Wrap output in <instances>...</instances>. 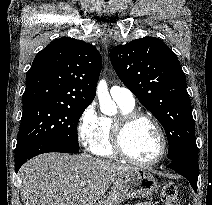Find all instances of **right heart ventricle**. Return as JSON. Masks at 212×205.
I'll use <instances>...</instances> for the list:
<instances>
[{
	"instance_id": "1",
	"label": "right heart ventricle",
	"mask_w": 212,
	"mask_h": 205,
	"mask_svg": "<svg viewBox=\"0 0 212 205\" xmlns=\"http://www.w3.org/2000/svg\"><path fill=\"white\" fill-rule=\"evenodd\" d=\"M117 104L121 110V113L132 111L134 108V106H128L120 102H117ZM113 121L114 119L106 116L99 118V126L96 137L92 144L88 147L92 154L98 157L110 159L118 157L113 150L111 142V129Z\"/></svg>"
}]
</instances>
